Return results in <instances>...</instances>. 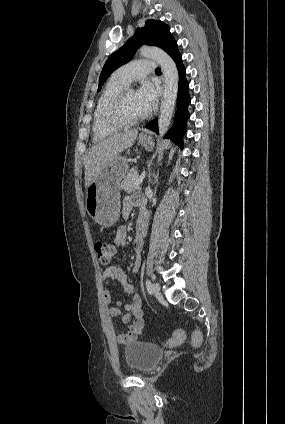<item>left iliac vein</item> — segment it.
<instances>
[{
	"label": "left iliac vein",
	"mask_w": 285,
	"mask_h": 424,
	"mask_svg": "<svg viewBox=\"0 0 285 424\" xmlns=\"http://www.w3.org/2000/svg\"><path fill=\"white\" fill-rule=\"evenodd\" d=\"M152 291H153V293H154V296L157 298V299H162L163 298V296H162V294H161V292H160V285L158 284V283H154L153 284V286H152Z\"/></svg>",
	"instance_id": "left-iliac-vein-1"
}]
</instances>
